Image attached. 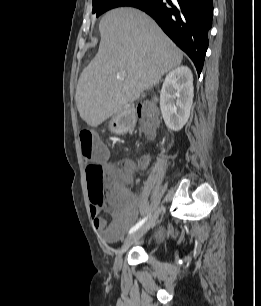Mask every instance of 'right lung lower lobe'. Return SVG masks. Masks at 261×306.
Here are the masks:
<instances>
[{"label":"right lung lower lobe","mask_w":261,"mask_h":306,"mask_svg":"<svg viewBox=\"0 0 261 306\" xmlns=\"http://www.w3.org/2000/svg\"><path fill=\"white\" fill-rule=\"evenodd\" d=\"M131 6L149 14L201 73L212 26V0H138Z\"/></svg>","instance_id":"98d812e1"}]
</instances>
